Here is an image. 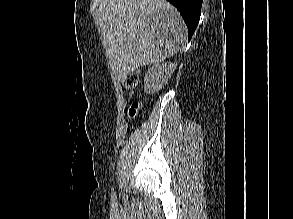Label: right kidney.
<instances>
[{
  "label": "right kidney",
  "mask_w": 293,
  "mask_h": 219,
  "mask_svg": "<svg viewBox=\"0 0 293 219\" xmlns=\"http://www.w3.org/2000/svg\"><path fill=\"white\" fill-rule=\"evenodd\" d=\"M177 67V63H163L161 65L152 66L144 78V91L147 94L158 92L164 85L168 83Z\"/></svg>",
  "instance_id": "right-kidney-1"
}]
</instances>
